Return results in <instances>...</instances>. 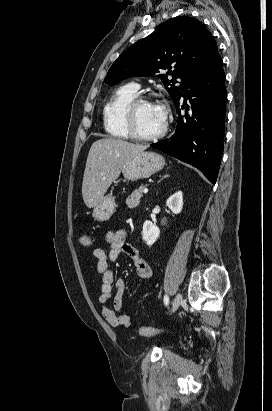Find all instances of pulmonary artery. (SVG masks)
Here are the masks:
<instances>
[{
  "instance_id": "e3ab8cb5",
  "label": "pulmonary artery",
  "mask_w": 272,
  "mask_h": 411,
  "mask_svg": "<svg viewBox=\"0 0 272 411\" xmlns=\"http://www.w3.org/2000/svg\"><path fill=\"white\" fill-rule=\"evenodd\" d=\"M136 90H138L139 89V85L137 84V83H133V84H131Z\"/></svg>"
}]
</instances>
